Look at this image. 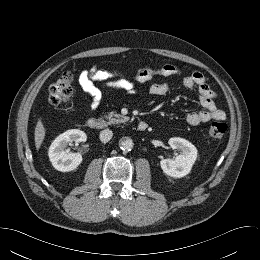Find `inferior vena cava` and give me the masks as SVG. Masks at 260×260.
<instances>
[{"instance_id": "inferior-vena-cava-1", "label": "inferior vena cava", "mask_w": 260, "mask_h": 260, "mask_svg": "<svg viewBox=\"0 0 260 260\" xmlns=\"http://www.w3.org/2000/svg\"><path fill=\"white\" fill-rule=\"evenodd\" d=\"M112 136H113V132L109 129H105L100 132V140L104 143L110 141Z\"/></svg>"}]
</instances>
